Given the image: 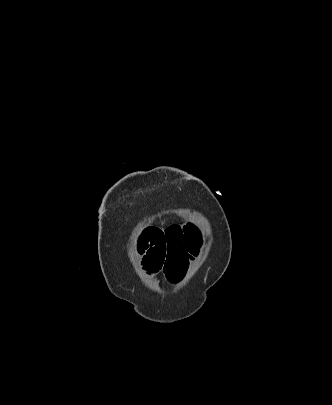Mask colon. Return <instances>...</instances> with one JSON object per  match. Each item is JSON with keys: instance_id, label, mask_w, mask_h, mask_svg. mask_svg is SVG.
<instances>
[{"instance_id": "colon-1", "label": "colon", "mask_w": 332, "mask_h": 405, "mask_svg": "<svg viewBox=\"0 0 332 405\" xmlns=\"http://www.w3.org/2000/svg\"><path fill=\"white\" fill-rule=\"evenodd\" d=\"M189 229H192V241H191V248L192 249H199L200 242H201V235L202 229H205L206 223L205 220H189L188 223Z\"/></svg>"}]
</instances>
